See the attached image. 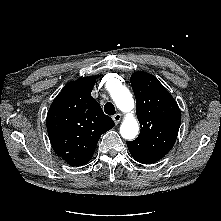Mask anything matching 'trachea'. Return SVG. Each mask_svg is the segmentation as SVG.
Here are the masks:
<instances>
[{
  "label": "trachea",
  "mask_w": 221,
  "mask_h": 221,
  "mask_svg": "<svg viewBox=\"0 0 221 221\" xmlns=\"http://www.w3.org/2000/svg\"><path fill=\"white\" fill-rule=\"evenodd\" d=\"M104 111L108 115H114L116 113L114 105L110 102L105 104Z\"/></svg>",
  "instance_id": "obj_1"
}]
</instances>
